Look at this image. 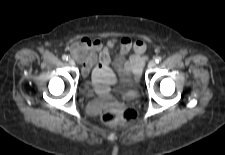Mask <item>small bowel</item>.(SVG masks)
<instances>
[{
    "mask_svg": "<svg viewBox=\"0 0 225 155\" xmlns=\"http://www.w3.org/2000/svg\"><path fill=\"white\" fill-rule=\"evenodd\" d=\"M117 47L121 54L132 51V55L125 61V69L136 77L140 75L145 63L144 53L146 45L143 41L132 42L129 38L110 39L104 42L102 39H90L82 37L70 46V52L81 64L82 72L87 75L93 66L92 87L101 93H106L110 85L116 82V75L111 68L110 49ZM85 88H89L85 86Z\"/></svg>",
    "mask_w": 225,
    "mask_h": 155,
    "instance_id": "small-bowel-1",
    "label": "small bowel"
}]
</instances>
